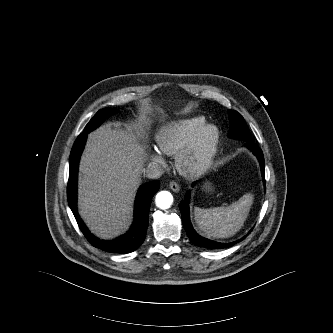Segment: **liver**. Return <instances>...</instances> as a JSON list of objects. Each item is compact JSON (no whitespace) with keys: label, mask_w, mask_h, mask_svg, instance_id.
Returning a JSON list of instances; mask_svg holds the SVG:
<instances>
[{"label":"liver","mask_w":333,"mask_h":333,"mask_svg":"<svg viewBox=\"0 0 333 333\" xmlns=\"http://www.w3.org/2000/svg\"><path fill=\"white\" fill-rule=\"evenodd\" d=\"M143 116L138 124L122 128L110 124L90 133L81 158L79 213L98 237L108 239L124 231L131 220L132 205L146 154Z\"/></svg>","instance_id":"liver-1"}]
</instances>
